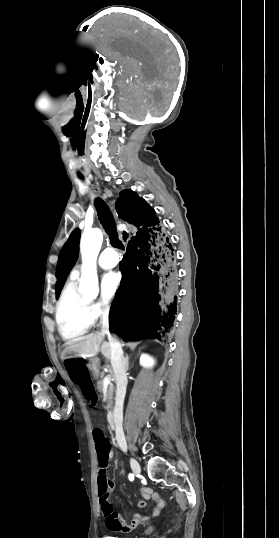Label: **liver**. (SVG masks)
I'll list each match as a JSON object with an SVG mask.
<instances>
[{"mask_svg": "<svg viewBox=\"0 0 279 538\" xmlns=\"http://www.w3.org/2000/svg\"><path fill=\"white\" fill-rule=\"evenodd\" d=\"M104 334H89V336H84L79 342H66L65 354H74V356H69V358H93L97 356L99 352L103 354L104 358L110 360L111 348L108 342H103Z\"/></svg>", "mask_w": 279, "mask_h": 538, "instance_id": "1", "label": "liver"}]
</instances>
